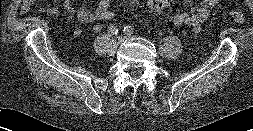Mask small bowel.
I'll use <instances>...</instances> for the list:
<instances>
[{"mask_svg": "<svg viewBox=\"0 0 253 131\" xmlns=\"http://www.w3.org/2000/svg\"><path fill=\"white\" fill-rule=\"evenodd\" d=\"M112 0H99L97 6L90 10L85 7L76 9L71 0H62V8L70 16H76L78 20L84 24H94L93 31L100 32L102 26L99 22L102 21V13L110 8ZM189 5V10L177 14L173 17V23L175 26H189L194 32H198L201 29L202 24L207 20L210 15V10L216 6L220 0H200V3H196V0H184ZM33 0H24L21 6V12L26 13L33 5ZM46 12L51 15H57L58 10L54 7L46 9ZM82 30L77 27L73 30L75 36L81 35Z\"/></svg>", "mask_w": 253, "mask_h": 131, "instance_id": "c3829d8e", "label": "small bowel"}]
</instances>
